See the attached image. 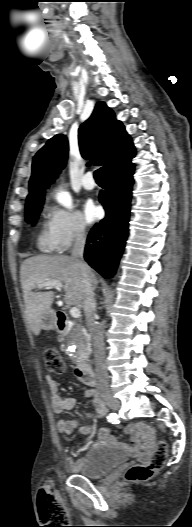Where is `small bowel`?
<instances>
[{"label": "small bowel", "instance_id": "1", "mask_svg": "<svg viewBox=\"0 0 192 527\" xmlns=\"http://www.w3.org/2000/svg\"><path fill=\"white\" fill-rule=\"evenodd\" d=\"M46 383L51 392V405L53 412L61 414L65 411H69L75 406V399L72 397H62L58 393V385L55 379L48 375L46 377ZM86 397L90 398L95 406V414L102 417L105 415L106 408L99 398L97 392L93 389H89L85 392ZM95 414L89 413L90 418L94 417ZM75 429H78L82 435H90L93 432V428L90 425L79 426L77 420H64L61 419L57 422V430L61 434H71ZM125 431L132 437V446H127L119 443L114 437L111 436L110 431L106 428L100 429L98 433L99 445L106 446H118L125 449L130 455L138 457L139 459L146 461L148 460L155 449V435L152 429L135 423L125 427Z\"/></svg>", "mask_w": 192, "mask_h": 527}]
</instances>
